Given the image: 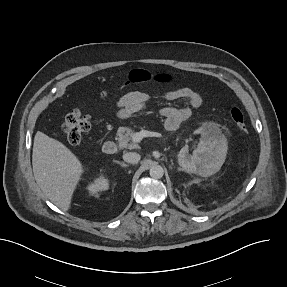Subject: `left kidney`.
Returning a JSON list of instances; mask_svg holds the SVG:
<instances>
[{"label": "left kidney", "mask_w": 287, "mask_h": 287, "mask_svg": "<svg viewBox=\"0 0 287 287\" xmlns=\"http://www.w3.org/2000/svg\"><path fill=\"white\" fill-rule=\"evenodd\" d=\"M199 132L202 138L193 154H189L188 146H184L178 154V161L186 172L209 177L223 165L227 141L218 128L212 125L203 126Z\"/></svg>", "instance_id": "obj_1"}]
</instances>
